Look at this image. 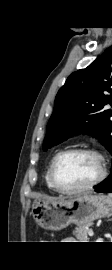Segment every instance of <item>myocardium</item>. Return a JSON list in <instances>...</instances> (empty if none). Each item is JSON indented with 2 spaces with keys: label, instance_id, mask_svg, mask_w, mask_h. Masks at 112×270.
<instances>
[{
  "label": "myocardium",
  "instance_id": "1",
  "mask_svg": "<svg viewBox=\"0 0 112 270\" xmlns=\"http://www.w3.org/2000/svg\"><path fill=\"white\" fill-rule=\"evenodd\" d=\"M73 153H83V154H90V155L95 156L99 160V164H100L99 174L93 181H91L90 183L84 186L77 187V188H65L62 185H60V183L57 180L56 167L59 160L63 156L68 155V154H73ZM106 176H107V164H106L105 157L102 155L101 152L90 147H73V148H68V149L60 151L52 159L50 168H49L50 182L52 186L54 187V189L57 192L62 193V194H78V193H83L85 191L91 190L95 188L96 186H98L102 181H104Z\"/></svg>",
  "mask_w": 112,
  "mask_h": 270
}]
</instances>
